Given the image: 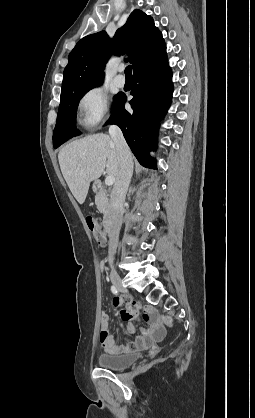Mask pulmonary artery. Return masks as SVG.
Segmentation results:
<instances>
[{
	"instance_id": "obj_1",
	"label": "pulmonary artery",
	"mask_w": 255,
	"mask_h": 418,
	"mask_svg": "<svg viewBox=\"0 0 255 418\" xmlns=\"http://www.w3.org/2000/svg\"><path fill=\"white\" fill-rule=\"evenodd\" d=\"M122 71H123V67H120L119 72H122ZM114 82L118 87H123L125 85L126 80H125V77L121 73H119L115 77Z\"/></svg>"
}]
</instances>
